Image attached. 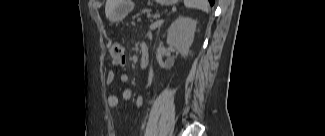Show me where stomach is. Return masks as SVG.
Instances as JSON below:
<instances>
[{"label": "stomach", "mask_w": 325, "mask_h": 136, "mask_svg": "<svg viewBox=\"0 0 325 136\" xmlns=\"http://www.w3.org/2000/svg\"><path fill=\"white\" fill-rule=\"evenodd\" d=\"M159 4L162 5H173L178 0H156ZM132 3L129 0H119V3L115 7L112 15L111 20L112 22H119L121 21L131 10Z\"/></svg>", "instance_id": "obj_1"}]
</instances>
